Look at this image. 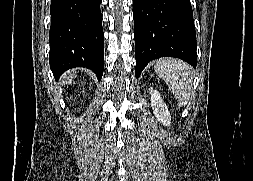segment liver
I'll use <instances>...</instances> for the list:
<instances>
[{"mask_svg":"<svg viewBox=\"0 0 253 181\" xmlns=\"http://www.w3.org/2000/svg\"><path fill=\"white\" fill-rule=\"evenodd\" d=\"M76 74L73 71L72 73H66L63 77L66 79L67 83L70 84L73 77H75Z\"/></svg>","mask_w":253,"mask_h":181,"instance_id":"1","label":"liver"}]
</instances>
